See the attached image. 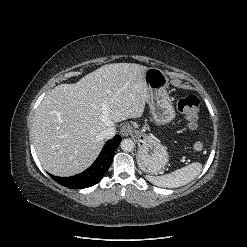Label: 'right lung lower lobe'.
Wrapping results in <instances>:
<instances>
[{
    "mask_svg": "<svg viewBox=\"0 0 247 247\" xmlns=\"http://www.w3.org/2000/svg\"><path fill=\"white\" fill-rule=\"evenodd\" d=\"M121 142V136L116 135L109 140L103 147L101 153L95 162L84 172L71 176V177H57L50 174V176L62 186L82 189L97 184L105 172L110 167L115 150Z\"/></svg>",
    "mask_w": 247,
    "mask_h": 247,
    "instance_id": "right-lung-lower-lobe-1",
    "label": "right lung lower lobe"
}]
</instances>
